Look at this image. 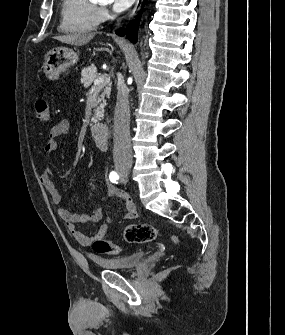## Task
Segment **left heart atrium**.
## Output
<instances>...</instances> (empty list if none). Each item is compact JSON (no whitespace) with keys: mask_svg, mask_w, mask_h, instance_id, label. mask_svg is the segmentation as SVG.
I'll use <instances>...</instances> for the list:
<instances>
[{"mask_svg":"<svg viewBox=\"0 0 285 335\" xmlns=\"http://www.w3.org/2000/svg\"><path fill=\"white\" fill-rule=\"evenodd\" d=\"M109 2L113 4L114 10L117 12L126 10L133 3V1H109Z\"/></svg>","mask_w":285,"mask_h":335,"instance_id":"39dd6f15","label":"left heart atrium"}]
</instances>
